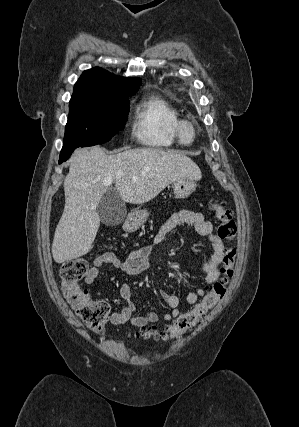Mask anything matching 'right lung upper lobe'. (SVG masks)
Listing matches in <instances>:
<instances>
[{
  "label": "right lung upper lobe",
  "instance_id": "cb5924a9",
  "mask_svg": "<svg viewBox=\"0 0 299 427\" xmlns=\"http://www.w3.org/2000/svg\"><path fill=\"white\" fill-rule=\"evenodd\" d=\"M140 84L138 78L119 77L101 68H93L84 71L75 83L70 101L130 97L138 90Z\"/></svg>",
  "mask_w": 299,
  "mask_h": 427
}]
</instances>
